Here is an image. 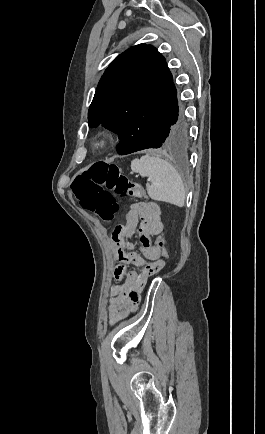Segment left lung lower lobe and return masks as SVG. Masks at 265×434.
<instances>
[{"instance_id":"1","label":"left lung lower lobe","mask_w":265,"mask_h":434,"mask_svg":"<svg viewBox=\"0 0 265 434\" xmlns=\"http://www.w3.org/2000/svg\"><path fill=\"white\" fill-rule=\"evenodd\" d=\"M189 146L188 128L176 103L167 112L164 121L159 126L143 129L134 136L124 138L116 146V150L120 155L145 149L158 154H183Z\"/></svg>"}]
</instances>
